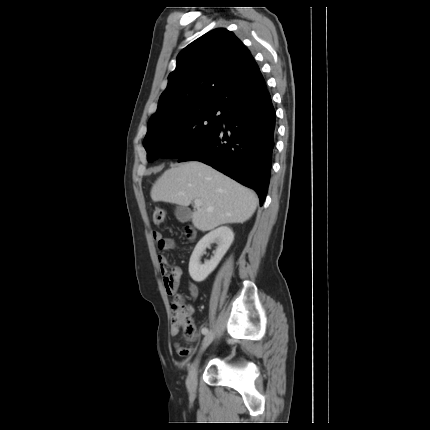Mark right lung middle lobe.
Instances as JSON below:
<instances>
[{
    "label": "right lung middle lobe",
    "mask_w": 430,
    "mask_h": 430,
    "mask_svg": "<svg viewBox=\"0 0 430 430\" xmlns=\"http://www.w3.org/2000/svg\"><path fill=\"white\" fill-rule=\"evenodd\" d=\"M221 107L207 104L148 127L143 145L149 162L158 157L178 158L195 150L222 125Z\"/></svg>",
    "instance_id": "right-lung-middle-lobe-1"
}]
</instances>
